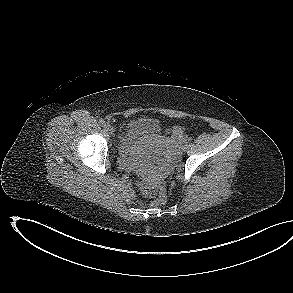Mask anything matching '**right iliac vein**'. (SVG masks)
Wrapping results in <instances>:
<instances>
[{"label": "right iliac vein", "instance_id": "right-iliac-vein-1", "mask_svg": "<svg viewBox=\"0 0 293 293\" xmlns=\"http://www.w3.org/2000/svg\"><path fill=\"white\" fill-rule=\"evenodd\" d=\"M105 129L109 132V134H113L114 129L110 124L105 125Z\"/></svg>", "mask_w": 293, "mask_h": 293}]
</instances>
